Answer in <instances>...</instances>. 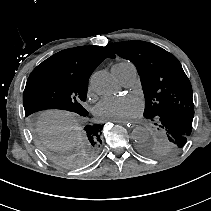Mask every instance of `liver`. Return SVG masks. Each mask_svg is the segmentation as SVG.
Returning <instances> with one entry per match:
<instances>
[{
  "label": "liver",
  "instance_id": "liver-1",
  "mask_svg": "<svg viewBox=\"0 0 211 211\" xmlns=\"http://www.w3.org/2000/svg\"><path fill=\"white\" fill-rule=\"evenodd\" d=\"M73 115L64 111H48L42 114L40 126H43L47 131L52 130V126H59L66 131L73 130Z\"/></svg>",
  "mask_w": 211,
  "mask_h": 211
}]
</instances>
